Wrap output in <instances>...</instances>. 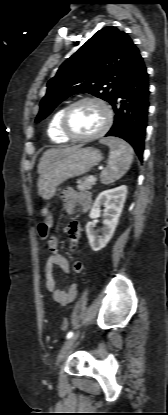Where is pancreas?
Returning a JSON list of instances; mask_svg holds the SVG:
<instances>
[{"label": "pancreas", "instance_id": "obj_1", "mask_svg": "<svg viewBox=\"0 0 168 415\" xmlns=\"http://www.w3.org/2000/svg\"><path fill=\"white\" fill-rule=\"evenodd\" d=\"M95 184H96V178L91 180L89 177H85L77 181V189L81 191L90 190L92 186H94Z\"/></svg>", "mask_w": 168, "mask_h": 415}]
</instances>
